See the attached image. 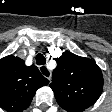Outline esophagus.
<instances>
[{"mask_svg":"<svg viewBox=\"0 0 112 112\" xmlns=\"http://www.w3.org/2000/svg\"><path fill=\"white\" fill-rule=\"evenodd\" d=\"M39 70H40L41 73H42V70H45L47 76L44 75L43 73L42 74L50 81V79H51V71L44 65L40 66Z\"/></svg>","mask_w":112,"mask_h":112,"instance_id":"34e87169","label":"esophagus"}]
</instances>
